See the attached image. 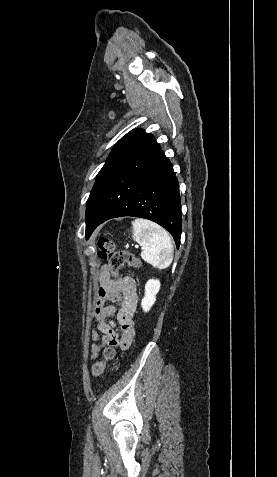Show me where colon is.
<instances>
[{"label": "colon", "mask_w": 277, "mask_h": 477, "mask_svg": "<svg viewBox=\"0 0 277 477\" xmlns=\"http://www.w3.org/2000/svg\"><path fill=\"white\" fill-rule=\"evenodd\" d=\"M98 246L99 257L108 261L109 270L115 278H118L120 270L125 266L132 268H139L141 266V262L138 258L125 250L117 249L107 238H100ZM114 356V349L107 348L105 350V360L96 362L92 366L93 376L101 375L104 372L106 361L113 359Z\"/></svg>", "instance_id": "1"}]
</instances>
